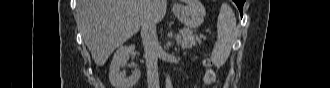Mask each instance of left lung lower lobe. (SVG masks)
Segmentation results:
<instances>
[{
	"label": "left lung lower lobe",
	"mask_w": 330,
	"mask_h": 88,
	"mask_svg": "<svg viewBox=\"0 0 330 88\" xmlns=\"http://www.w3.org/2000/svg\"><path fill=\"white\" fill-rule=\"evenodd\" d=\"M236 5L238 6L239 8V11H240V14H241V17H242V13H243V4L245 2V0H233Z\"/></svg>",
	"instance_id": "1"
}]
</instances>
